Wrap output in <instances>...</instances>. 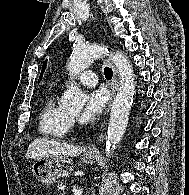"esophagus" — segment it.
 Masks as SVG:
<instances>
[{
    "instance_id": "1",
    "label": "esophagus",
    "mask_w": 189,
    "mask_h": 195,
    "mask_svg": "<svg viewBox=\"0 0 189 195\" xmlns=\"http://www.w3.org/2000/svg\"><path fill=\"white\" fill-rule=\"evenodd\" d=\"M113 73H114V81H117V74H116V70L115 68H113ZM105 125H106V121H104V123L101 126V131H103L105 129ZM101 135H99L95 141V143H92L89 147H88V152L89 153H94L96 152V148H97V143L100 140Z\"/></svg>"
}]
</instances>
